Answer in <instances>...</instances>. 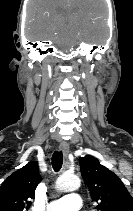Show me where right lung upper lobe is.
Masks as SVG:
<instances>
[{
	"label": "right lung upper lobe",
	"mask_w": 133,
	"mask_h": 211,
	"mask_svg": "<svg viewBox=\"0 0 133 211\" xmlns=\"http://www.w3.org/2000/svg\"><path fill=\"white\" fill-rule=\"evenodd\" d=\"M40 181L35 162L15 171L0 187V211H27Z\"/></svg>",
	"instance_id": "cb5924a9"
}]
</instances>
